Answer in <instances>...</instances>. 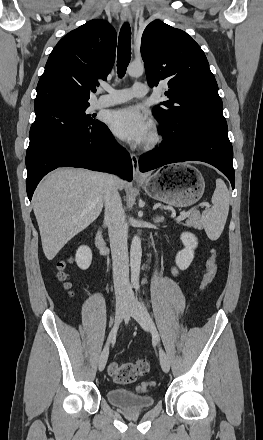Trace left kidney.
Segmentation results:
<instances>
[{
    "label": "left kidney",
    "instance_id": "5707ae66",
    "mask_svg": "<svg viewBox=\"0 0 263 440\" xmlns=\"http://www.w3.org/2000/svg\"><path fill=\"white\" fill-rule=\"evenodd\" d=\"M180 239L184 249L177 253L175 262L179 269L186 270L194 259V249L198 246V240L194 234L189 232L182 233Z\"/></svg>",
    "mask_w": 263,
    "mask_h": 440
}]
</instances>
